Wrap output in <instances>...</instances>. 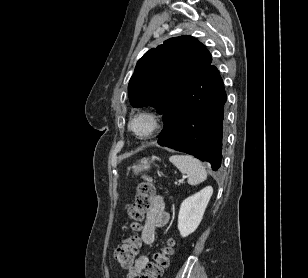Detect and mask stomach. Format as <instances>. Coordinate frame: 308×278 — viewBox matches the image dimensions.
Segmentation results:
<instances>
[{
	"label": "stomach",
	"instance_id": "stomach-1",
	"mask_svg": "<svg viewBox=\"0 0 308 278\" xmlns=\"http://www.w3.org/2000/svg\"><path fill=\"white\" fill-rule=\"evenodd\" d=\"M150 168V161L148 159H142L137 165L133 166V171L138 174L141 171L148 170Z\"/></svg>",
	"mask_w": 308,
	"mask_h": 278
}]
</instances>
